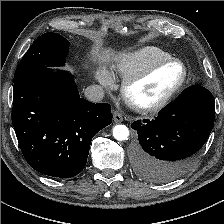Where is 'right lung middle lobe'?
Masks as SVG:
<instances>
[{"label":"right lung middle lobe","instance_id":"obj_1","mask_svg":"<svg viewBox=\"0 0 224 224\" xmlns=\"http://www.w3.org/2000/svg\"><path fill=\"white\" fill-rule=\"evenodd\" d=\"M70 43L58 33H45L31 45L14 74V86L28 74L47 66H62Z\"/></svg>","mask_w":224,"mask_h":224}]
</instances>
